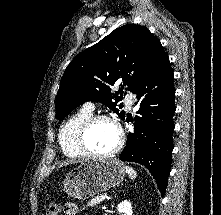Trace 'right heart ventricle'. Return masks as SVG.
Segmentation results:
<instances>
[{"label":"right heart ventricle","mask_w":221,"mask_h":215,"mask_svg":"<svg viewBox=\"0 0 221 215\" xmlns=\"http://www.w3.org/2000/svg\"><path fill=\"white\" fill-rule=\"evenodd\" d=\"M92 115V111L82 108L72 115L62 126L59 141L66 156L76 158L84 155L78 147L77 134L82 124Z\"/></svg>","instance_id":"obj_1"}]
</instances>
